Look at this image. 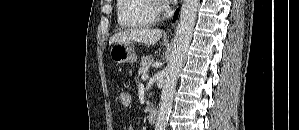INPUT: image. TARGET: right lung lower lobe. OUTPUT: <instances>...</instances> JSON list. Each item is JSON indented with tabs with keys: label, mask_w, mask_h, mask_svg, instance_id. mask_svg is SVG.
<instances>
[{
	"label": "right lung lower lobe",
	"mask_w": 299,
	"mask_h": 130,
	"mask_svg": "<svg viewBox=\"0 0 299 130\" xmlns=\"http://www.w3.org/2000/svg\"><path fill=\"white\" fill-rule=\"evenodd\" d=\"M178 11L179 10H177V12H176V14H175V16H174V19H173V22L177 19V17H178Z\"/></svg>",
	"instance_id": "obj_1"
}]
</instances>
